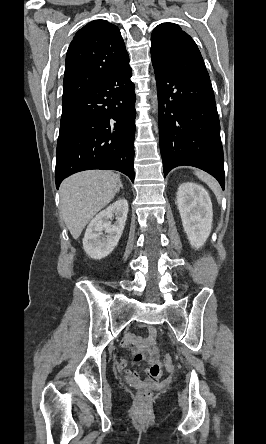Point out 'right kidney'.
Here are the masks:
<instances>
[{
	"label": "right kidney",
	"mask_w": 266,
	"mask_h": 444,
	"mask_svg": "<svg viewBox=\"0 0 266 444\" xmlns=\"http://www.w3.org/2000/svg\"><path fill=\"white\" fill-rule=\"evenodd\" d=\"M128 214V202L119 199L101 211L89 223L83 238V248L93 259L108 256L117 246L124 230ZM116 216V222L111 223Z\"/></svg>",
	"instance_id": "ca27d5eb"
}]
</instances>
